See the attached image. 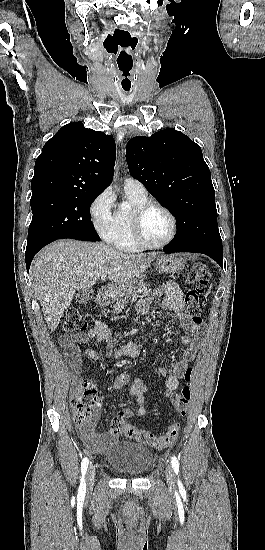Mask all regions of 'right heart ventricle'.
<instances>
[{
  "mask_svg": "<svg viewBox=\"0 0 265 550\" xmlns=\"http://www.w3.org/2000/svg\"><path fill=\"white\" fill-rule=\"evenodd\" d=\"M128 206H120L114 213L113 227L107 241L117 249L134 252L139 246L134 241L131 228L133 210L148 201L147 195L125 190Z\"/></svg>",
  "mask_w": 265,
  "mask_h": 550,
  "instance_id": "e07e8e85",
  "label": "right heart ventricle"
}]
</instances>
